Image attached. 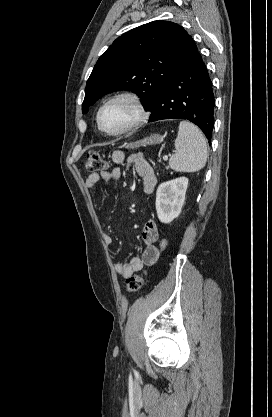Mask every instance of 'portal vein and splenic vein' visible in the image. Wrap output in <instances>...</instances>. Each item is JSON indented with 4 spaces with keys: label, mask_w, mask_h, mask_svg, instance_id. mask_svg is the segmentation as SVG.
<instances>
[{
    "label": "portal vein and splenic vein",
    "mask_w": 272,
    "mask_h": 417,
    "mask_svg": "<svg viewBox=\"0 0 272 417\" xmlns=\"http://www.w3.org/2000/svg\"><path fill=\"white\" fill-rule=\"evenodd\" d=\"M167 159H168V155H164L163 160H167Z\"/></svg>",
    "instance_id": "obj_1"
}]
</instances>
